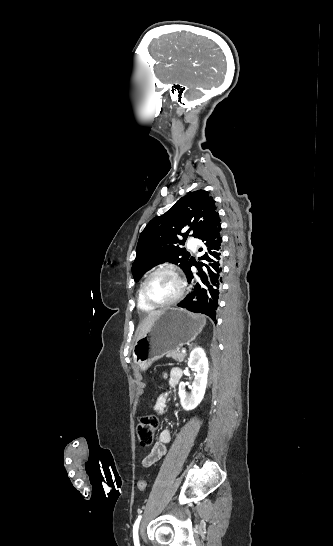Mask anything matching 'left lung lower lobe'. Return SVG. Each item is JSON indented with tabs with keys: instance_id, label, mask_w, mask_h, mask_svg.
<instances>
[{
	"instance_id": "0a47b994",
	"label": "left lung lower lobe",
	"mask_w": 333,
	"mask_h": 546,
	"mask_svg": "<svg viewBox=\"0 0 333 546\" xmlns=\"http://www.w3.org/2000/svg\"><path fill=\"white\" fill-rule=\"evenodd\" d=\"M221 224L219 215H216L212 223L198 237L202 241L204 251L200 260V266H197L201 281H196L189 267L186 276L192 288L187 297L181 301L178 306L186 308L195 313H203L212 320L216 319V313L219 307V297L222 283V264H221Z\"/></svg>"
}]
</instances>
